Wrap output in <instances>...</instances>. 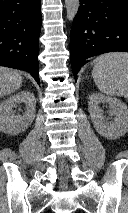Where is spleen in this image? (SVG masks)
I'll return each mask as SVG.
<instances>
[{"instance_id":"obj_1","label":"spleen","mask_w":128,"mask_h":213,"mask_svg":"<svg viewBox=\"0 0 128 213\" xmlns=\"http://www.w3.org/2000/svg\"><path fill=\"white\" fill-rule=\"evenodd\" d=\"M92 77L102 93L128 99V53H107L97 57Z\"/></svg>"}]
</instances>
